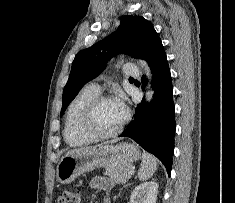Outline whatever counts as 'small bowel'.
Instances as JSON below:
<instances>
[{"instance_id": "1", "label": "small bowel", "mask_w": 235, "mask_h": 203, "mask_svg": "<svg viewBox=\"0 0 235 203\" xmlns=\"http://www.w3.org/2000/svg\"><path fill=\"white\" fill-rule=\"evenodd\" d=\"M90 187L104 193L106 199L104 203H109L107 196L112 188L111 181L104 176H96L90 181Z\"/></svg>"}]
</instances>
